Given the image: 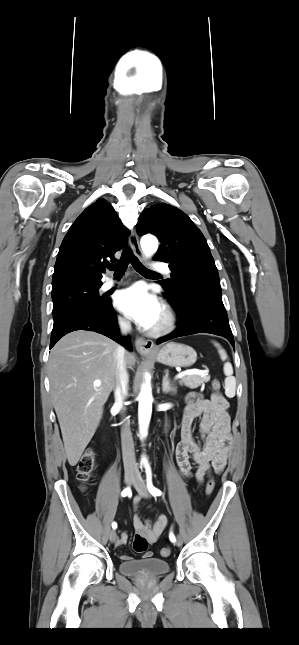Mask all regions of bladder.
Returning <instances> with one entry per match:
<instances>
[{"label":"bladder","mask_w":299,"mask_h":645,"mask_svg":"<svg viewBox=\"0 0 299 645\" xmlns=\"http://www.w3.org/2000/svg\"><path fill=\"white\" fill-rule=\"evenodd\" d=\"M119 571L125 576L134 578L159 577L170 571V564L157 557L130 559L119 564Z\"/></svg>","instance_id":"1"}]
</instances>
